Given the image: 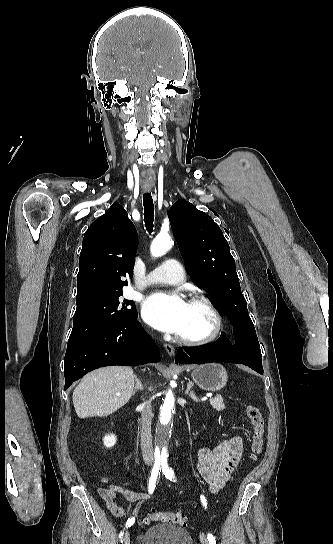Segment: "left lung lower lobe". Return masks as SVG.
Listing matches in <instances>:
<instances>
[{
    "label": "left lung lower lobe",
    "instance_id": "left-lung-lower-lobe-1",
    "mask_svg": "<svg viewBox=\"0 0 333 544\" xmlns=\"http://www.w3.org/2000/svg\"><path fill=\"white\" fill-rule=\"evenodd\" d=\"M236 343L232 345L224 334L210 344L200 347H184L176 355V362L201 364L212 359L218 362L241 363L263 374L262 355L256 344L254 348L244 337L239 338L233 330Z\"/></svg>",
    "mask_w": 333,
    "mask_h": 544
}]
</instances>
